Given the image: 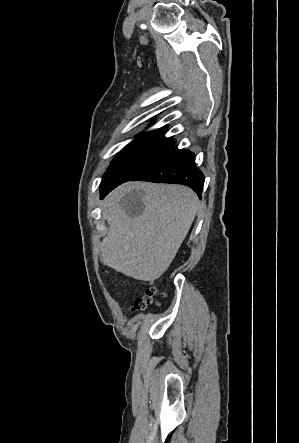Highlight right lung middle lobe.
Masks as SVG:
<instances>
[{
    "mask_svg": "<svg viewBox=\"0 0 299 443\" xmlns=\"http://www.w3.org/2000/svg\"><path fill=\"white\" fill-rule=\"evenodd\" d=\"M164 134L165 130L139 134L111 162L100 190L131 180L166 155L173 148V140Z\"/></svg>",
    "mask_w": 299,
    "mask_h": 443,
    "instance_id": "dd1d6c3e",
    "label": "right lung middle lobe"
}]
</instances>
